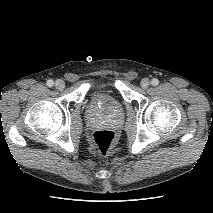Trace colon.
<instances>
[{
	"mask_svg": "<svg viewBox=\"0 0 213 213\" xmlns=\"http://www.w3.org/2000/svg\"><path fill=\"white\" fill-rule=\"evenodd\" d=\"M92 142L101 154L106 155L114 147L116 135L108 129L96 130L92 133Z\"/></svg>",
	"mask_w": 213,
	"mask_h": 213,
	"instance_id": "5ec220e1",
	"label": "colon"
}]
</instances>
